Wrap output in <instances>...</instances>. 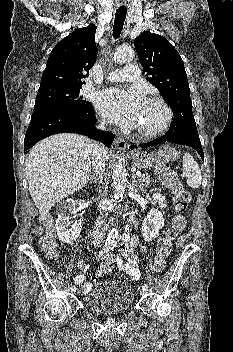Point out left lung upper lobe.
I'll list each match as a JSON object with an SVG mask.
<instances>
[{
  "instance_id": "1",
  "label": "left lung upper lobe",
  "mask_w": 233,
  "mask_h": 352,
  "mask_svg": "<svg viewBox=\"0 0 233 352\" xmlns=\"http://www.w3.org/2000/svg\"><path fill=\"white\" fill-rule=\"evenodd\" d=\"M147 80L161 93L174 115L168 131H195L190 88L184 63L169 41L158 34L143 32L134 41Z\"/></svg>"
}]
</instances>
